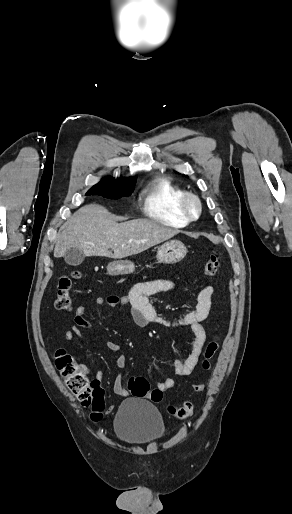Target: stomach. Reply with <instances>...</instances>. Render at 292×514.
<instances>
[{
  "label": "stomach",
  "instance_id": "obj_1",
  "mask_svg": "<svg viewBox=\"0 0 292 514\" xmlns=\"http://www.w3.org/2000/svg\"><path fill=\"white\" fill-rule=\"evenodd\" d=\"M186 254L187 250L182 242L170 240V242H165L163 246H160L156 258L160 264H177L185 258ZM134 270L135 264L130 260H116V262H110L107 266V274H110V276L133 274Z\"/></svg>",
  "mask_w": 292,
  "mask_h": 514
}]
</instances>
